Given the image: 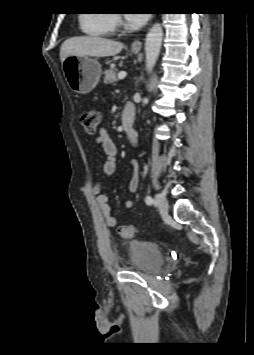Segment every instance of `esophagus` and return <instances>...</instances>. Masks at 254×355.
<instances>
[{
    "mask_svg": "<svg viewBox=\"0 0 254 355\" xmlns=\"http://www.w3.org/2000/svg\"><path fill=\"white\" fill-rule=\"evenodd\" d=\"M142 47V42L140 40H135L132 44H131V49L132 50H140Z\"/></svg>",
    "mask_w": 254,
    "mask_h": 355,
    "instance_id": "34e87169",
    "label": "esophagus"
}]
</instances>
